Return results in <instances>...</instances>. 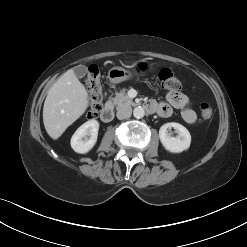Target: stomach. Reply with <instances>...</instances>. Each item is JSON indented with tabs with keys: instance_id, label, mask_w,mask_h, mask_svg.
Returning a JSON list of instances; mask_svg holds the SVG:
<instances>
[{
	"instance_id": "stomach-1",
	"label": "stomach",
	"mask_w": 247,
	"mask_h": 247,
	"mask_svg": "<svg viewBox=\"0 0 247 247\" xmlns=\"http://www.w3.org/2000/svg\"><path fill=\"white\" fill-rule=\"evenodd\" d=\"M133 71L124 69L122 67H113L108 71V79L113 84L131 79L135 74L136 70L143 71L151 69L152 65L146 60H137L133 63Z\"/></svg>"
}]
</instances>
